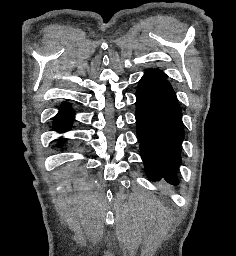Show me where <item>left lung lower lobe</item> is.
<instances>
[{
  "instance_id": "0a47b994",
  "label": "left lung lower lobe",
  "mask_w": 236,
  "mask_h": 256,
  "mask_svg": "<svg viewBox=\"0 0 236 256\" xmlns=\"http://www.w3.org/2000/svg\"><path fill=\"white\" fill-rule=\"evenodd\" d=\"M159 71L148 70L136 93L137 138L145 171L151 181L178 185L184 138L182 111L174 90Z\"/></svg>"
}]
</instances>
